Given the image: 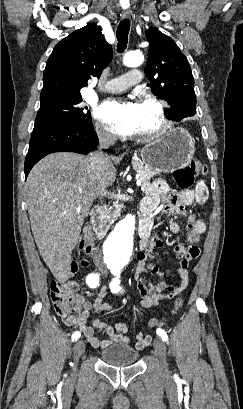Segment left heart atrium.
I'll use <instances>...</instances> for the list:
<instances>
[{
  "instance_id": "obj_1",
  "label": "left heart atrium",
  "mask_w": 243,
  "mask_h": 409,
  "mask_svg": "<svg viewBox=\"0 0 243 409\" xmlns=\"http://www.w3.org/2000/svg\"><path fill=\"white\" fill-rule=\"evenodd\" d=\"M96 115L116 134L136 133L138 106L134 102H106L98 108Z\"/></svg>"
}]
</instances>
